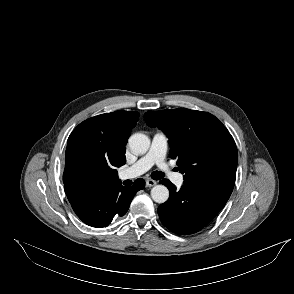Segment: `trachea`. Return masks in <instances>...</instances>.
<instances>
[{"instance_id": "obj_1", "label": "trachea", "mask_w": 294, "mask_h": 294, "mask_svg": "<svg viewBox=\"0 0 294 294\" xmlns=\"http://www.w3.org/2000/svg\"><path fill=\"white\" fill-rule=\"evenodd\" d=\"M151 177L154 179V180H159L161 178L164 177V174L160 171H154L151 173Z\"/></svg>"}]
</instances>
